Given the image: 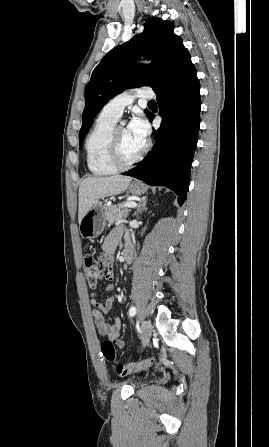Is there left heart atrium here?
Here are the masks:
<instances>
[{"mask_svg": "<svg viewBox=\"0 0 269 447\" xmlns=\"http://www.w3.org/2000/svg\"><path fill=\"white\" fill-rule=\"evenodd\" d=\"M129 128L140 138L146 140L149 135V125L141 113H136L130 124Z\"/></svg>", "mask_w": 269, "mask_h": 447, "instance_id": "obj_1", "label": "left heart atrium"}]
</instances>
